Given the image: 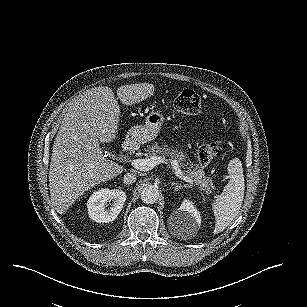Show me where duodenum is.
Returning a JSON list of instances; mask_svg holds the SVG:
<instances>
[{"instance_id":"1","label":"duodenum","mask_w":307,"mask_h":307,"mask_svg":"<svg viewBox=\"0 0 307 307\" xmlns=\"http://www.w3.org/2000/svg\"><path fill=\"white\" fill-rule=\"evenodd\" d=\"M124 149L127 152H130L133 149V143L132 142H126L124 145Z\"/></svg>"}]
</instances>
